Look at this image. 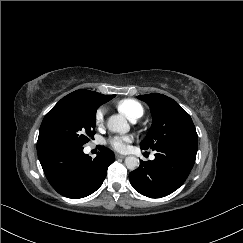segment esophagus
Instances as JSON below:
<instances>
[{
    "label": "esophagus",
    "instance_id": "obj_1",
    "mask_svg": "<svg viewBox=\"0 0 243 243\" xmlns=\"http://www.w3.org/2000/svg\"><path fill=\"white\" fill-rule=\"evenodd\" d=\"M115 157H116V158H122V159H124L126 156H125V155H121V154L116 153V154H115Z\"/></svg>",
    "mask_w": 243,
    "mask_h": 243
}]
</instances>
